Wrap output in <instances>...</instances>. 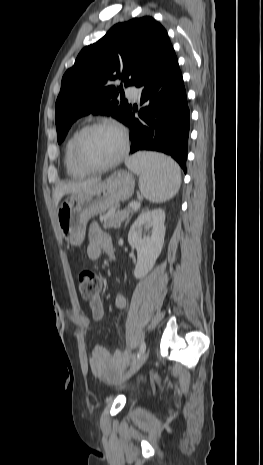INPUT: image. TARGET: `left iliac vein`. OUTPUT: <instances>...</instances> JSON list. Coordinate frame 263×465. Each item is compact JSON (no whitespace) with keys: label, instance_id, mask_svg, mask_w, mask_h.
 <instances>
[{"label":"left iliac vein","instance_id":"obj_1","mask_svg":"<svg viewBox=\"0 0 263 465\" xmlns=\"http://www.w3.org/2000/svg\"><path fill=\"white\" fill-rule=\"evenodd\" d=\"M148 357V352L143 353L139 359H137L130 369L125 373L123 377L120 378L119 383L124 382L125 380L129 379L132 375H134L145 363Z\"/></svg>","mask_w":263,"mask_h":465}]
</instances>
